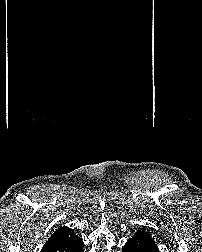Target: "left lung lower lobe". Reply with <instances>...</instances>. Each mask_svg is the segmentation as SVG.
<instances>
[{
  "label": "left lung lower lobe",
  "instance_id": "obj_1",
  "mask_svg": "<svg viewBox=\"0 0 202 252\" xmlns=\"http://www.w3.org/2000/svg\"><path fill=\"white\" fill-rule=\"evenodd\" d=\"M122 252H160L154 238L143 230L135 235L123 246Z\"/></svg>",
  "mask_w": 202,
  "mask_h": 252
}]
</instances>
